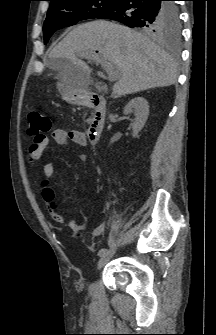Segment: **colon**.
<instances>
[{
	"mask_svg": "<svg viewBox=\"0 0 216 335\" xmlns=\"http://www.w3.org/2000/svg\"><path fill=\"white\" fill-rule=\"evenodd\" d=\"M27 123V133L33 138V142L42 140L52 125L50 116L39 110H33L28 114ZM43 196L46 200L51 201L53 196L51 189L46 188L43 192ZM77 236H79V233H77Z\"/></svg>",
	"mask_w": 216,
	"mask_h": 335,
	"instance_id": "1",
	"label": "colon"
}]
</instances>
